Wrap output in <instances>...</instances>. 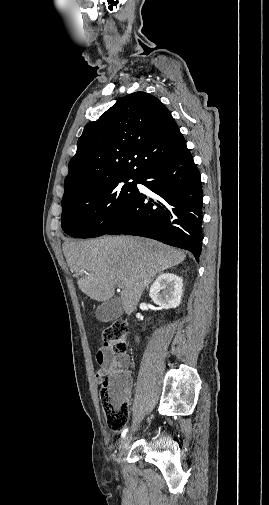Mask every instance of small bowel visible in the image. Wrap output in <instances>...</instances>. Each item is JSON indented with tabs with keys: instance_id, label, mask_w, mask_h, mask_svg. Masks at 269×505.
Instances as JSON below:
<instances>
[{
	"instance_id": "1",
	"label": "small bowel",
	"mask_w": 269,
	"mask_h": 505,
	"mask_svg": "<svg viewBox=\"0 0 269 505\" xmlns=\"http://www.w3.org/2000/svg\"><path fill=\"white\" fill-rule=\"evenodd\" d=\"M95 358L100 366L96 375L99 381L103 382L106 378L111 376H122L128 380L130 385V359L128 355L118 356L106 348H101L96 352Z\"/></svg>"
}]
</instances>
